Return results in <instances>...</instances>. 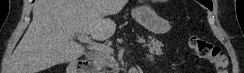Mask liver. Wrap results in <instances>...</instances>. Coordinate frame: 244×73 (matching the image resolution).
Returning a JSON list of instances; mask_svg holds the SVG:
<instances>
[{
    "instance_id": "liver-1",
    "label": "liver",
    "mask_w": 244,
    "mask_h": 73,
    "mask_svg": "<svg viewBox=\"0 0 244 73\" xmlns=\"http://www.w3.org/2000/svg\"><path fill=\"white\" fill-rule=\"evenodd\" d=\"M127 0H36L33 20L10 59L8 73H39L74 61L85 52L71 40L90 34L95 40L110 38L116 24L108 15L119 13Z\"/></svg>"
}]
</instances>
